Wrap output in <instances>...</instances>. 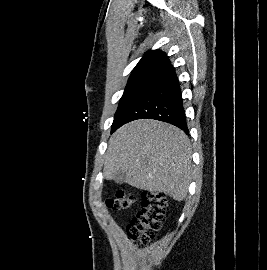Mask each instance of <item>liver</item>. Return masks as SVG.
I'll list each match as a JSON object with an SVG mask.
<instances>
[{
  "mask_svg": "<svg viewBox=\"0 0 267 270\" xmlns=\"http://www.w3.org/2000/svg\"><path fill=\"white\" fill-rule=\"evenodd\" d=\"M191 158L190 140L183 131L140 119L122 126L110 138L103 175L111 180L121 170L130 186L182 201L191 181Z\"/></svg>",
  "mask_w": 267,
  "mask_h": 270,
  "instance_id": "obj_1",
  "label": "liver"
}]
</instances>
